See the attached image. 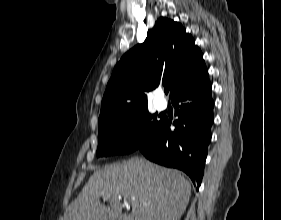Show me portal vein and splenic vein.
<instances>
[{
	"instance_id": "portal-vein-and-splenic-vein-1",
	"label": "portal vein and splenic vein",
	"mask_w": 281,
	"mask_h": 220,
	"mask_svg": "<svg viewBox=\"0 0 281 220\" xmlns=\"http://www.w3.org/2000/svg\"><path fill=\"white\" fill-rule=\"evenodd\" d=\"M105 199H108V197H106ZM131 200L134 202L135 201V197H131Z\"/></svg>"
}]
</instances>
